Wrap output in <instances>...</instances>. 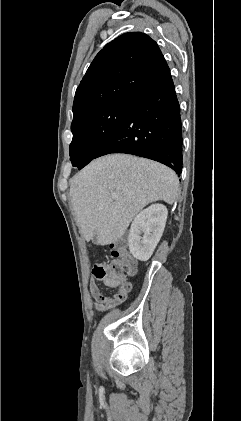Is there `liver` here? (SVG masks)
<instances>
[{
	"instance_id": "liver-1",
	"label": "liver",
	"mask_w": 241,
	"mask_h": 421,
	"mask_svg": "<svg viewBox=\"0 0 241 421\" xmlns=\"http://www.w3.org/2000/svg\"><path fill=\"white\" fill-rule=\"evenodd\" d=\"M176 173L158 162L127 154L93 160L71 180L70 200L81 235L98 244L115 243L146 205L178 196ZM115 195V196H113Z\"/></svg>"
}]
</instances>
